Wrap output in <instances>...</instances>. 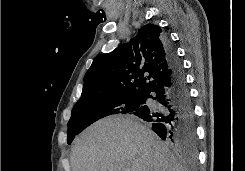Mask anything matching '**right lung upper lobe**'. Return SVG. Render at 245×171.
<instances>
[{"mask_svg": "<svg viewBox=\"0 0 245 171\" xmlns=\"http://www.w3.org/2000/svg\"><path fill=\"white\" fill-rule=\"evenodd\" d=\"M170 72L162 29L147 24L130 42L94 58L84 76L78 102L116 95H142Z\"/></svg>", "mask_w": 245, "mask_h": 171, "instance_id": "obj_1", "label": "right lung upper lobe"}]
</instances>
